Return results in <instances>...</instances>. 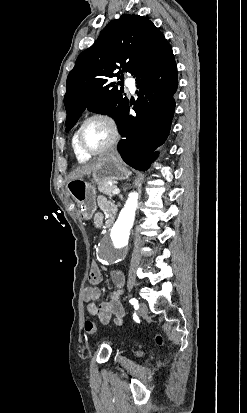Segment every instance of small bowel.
Masks as SVG:
<instances>
[{"instance_id": "1", "label": "small bowel", "mask_w": 247, "mask_h": 413, "mask_svg": "<svg viewBox=\"0 0 247 413\" xmlns=\"http://www.w3.org/2000/svg\"><path fill=\"white\" fill-rule=\"evenodd\" d=\"M98 205L103 211L107 220L114 222L116 206L111 201L107 200L104 196L98 198ZM94 223L97 227L103 224V214L97 213L94 217ZM111 282L114 288L112 297L110 300L97 305L96 302L100 299L101 292L99 289H85L84 298L88 301L87 311L92 316H97L102 324H108L114 316L116 324L121 325L125 315V310L120 300V295L123 292V286L125 282L124 274L120 270H113L111 272Z\"/></svg>"}]
</instances>
